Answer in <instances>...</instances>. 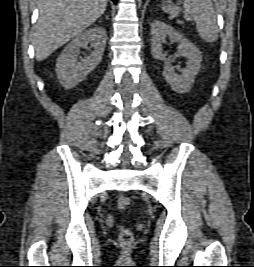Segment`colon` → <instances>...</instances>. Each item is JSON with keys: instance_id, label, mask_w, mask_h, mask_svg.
I'll return each instance as SVG.
<instances>
[{"instance_id": "5ec220e1", "label": "colon", "mask_w": 254, "mask_h": 267, "mask_svg": "<svg viewBox=\"0 0 254 267\" xmlns=\"http://www.w3.org/2000/svg\"><path fill=\"white\" fill-rule=\"evenodd\" d=\"M131 204V199L129 197H120L117 201V207L121 210L126 209ZM119 242L124 246H129L134 240L133 233L130 229L122 227L118 235Z\"/></svg>"}]
</instances>
